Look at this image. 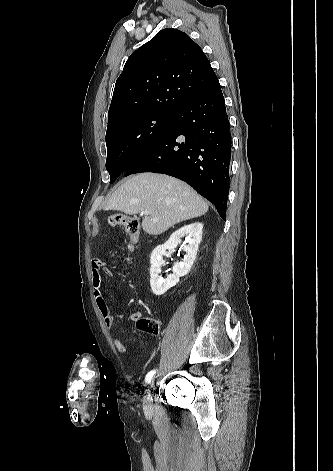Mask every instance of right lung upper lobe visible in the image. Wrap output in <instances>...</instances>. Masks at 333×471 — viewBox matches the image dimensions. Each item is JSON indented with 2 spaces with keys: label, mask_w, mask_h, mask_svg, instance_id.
Masks as SVG:
<instances>
[{
  "label": "right lung upper lobe",
  "mask_w": 333,
  "mask_h": 471,
  "mask_svg": "<svg viewBox=\"0 0 333 471\" xmlns=\"http://www.w3.org/2000/svg\"><path fill=\"white\" fill-rule=\"evenodd\" d=\"M216 81L198 44L180 30L163 29L128 58L115 84L108 126L144 111L175 113Z\"/></svg>",
  "instance_id": "cb5924a9"
}]
</instances>
